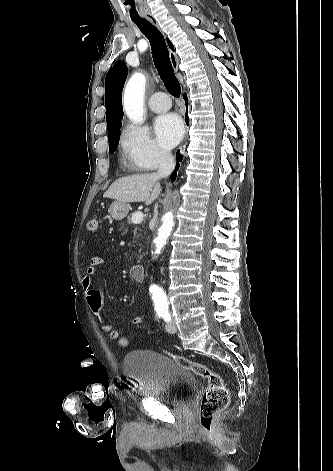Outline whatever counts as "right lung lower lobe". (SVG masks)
Listing matches in <instances>:
<instances>
[{"label": "right lung lower lobe", "instance_id": "obj_1", "mask_svg": "<svg viewBox=\"0 0 333 471\" xmlns=\"http://www.w3.org/2000/svg\"><path fill=\"white\" fill-rule=\"evenodd\" d=\"M184 100L186 101V106L188 105V99H187V96L184 94ZM186 122L188 123V111L186 110ZM176 159H177V162H179L180 159H182L181 155L179 154V151L177 152V155H176ZM177 169L178 167L176 166L174 172L171 174V180L174 181L175 178H176V172H177Z\"/></svg>", "mask_w": 333, "mask_h": 471}]
</instances>
